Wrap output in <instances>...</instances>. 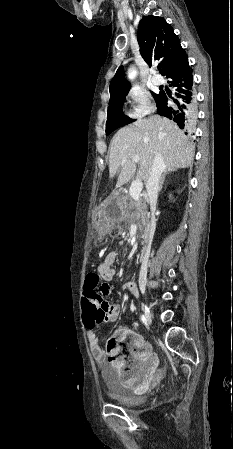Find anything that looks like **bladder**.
Masks as SVG:
<instances>
[{"mask_svg": "<svg viewBox=\"0 0 233 449\" xmlns=\"http://www.w3.org/2000/svg\"><path fill=\"white\" fill-rule=\"evenodd\" d=\"M107 394L117 404L123 407H134L143 403V398L119 382L109 379L107 384Z\"/></svg>", "mask_w": 233, "mask_h": 449, "instance_id": "bladder-1", "label": "bladder"}]
</instances>
